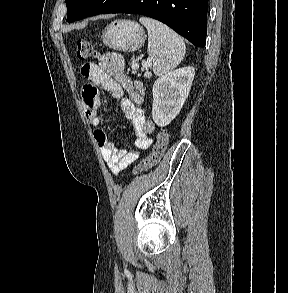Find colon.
<instances>
[{"mask_svg":"<svg viewBox=\"0 0 288 293\" xmlns=\"http://www.w3.org/2000/svg\"><path fill=\"white\" fill-rule=\"evenodd\" d=\"M75 46L77 58L83 62L88 61L96 55L94 45L85 39L76 40ZM168 139L169 137L166 132L162 131L158 134L157 141L152 152L135 166L133 169V175H138L151 169L160 161L166 150Z\"/></svg>","mask_w":288,"mask_h":293,"instance_id":"colon-1","label":"colon"}]
</instances>
